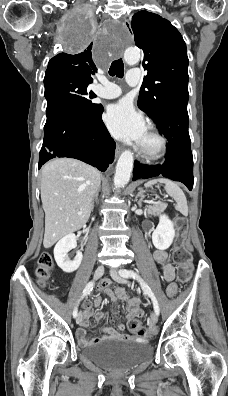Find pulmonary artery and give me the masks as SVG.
I'll return each instance as SVG.
<instances>
[{
    "instance_id": "obj_1",
    "label": "pulmonary artery",
    "mask_w": 228,
    "mask_h": 396,
    "mask_svg": "<svg viewBox=\"0 0 228 396\" xmlns=\"http://www.w3.org/2000/svg\"><path fill=\"white\" fill-rule=\"evenodd\" d=\"M140 81L139 71L132 69L127 74V82L131 86H135ZM100 97L105 99L117 98L121 95V89L116 85L107 80H102L101 87L97 90Z\"/></svg>"
}]
</instances>
